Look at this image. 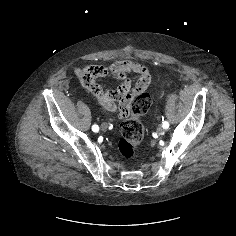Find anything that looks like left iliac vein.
I'll return each instance as SVG.
<instances>
[{"label":"left iliac vein","instance_id":"1","mask_svg":"<svg viewBox=\"0 0 236 236\" xmlns=\"http://www.w3.org/2000/svg\"><path fill=\"white\" fill-rule=\"evenodd\" d=\"M157 132H158V133H163V132H164V128H163L162 126H159V127L157 128Z\"/></svg>","mask_w":236,"mask_h":236}]
</instances>
